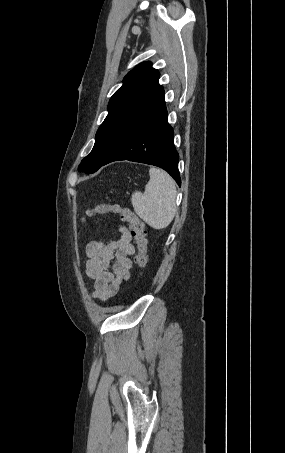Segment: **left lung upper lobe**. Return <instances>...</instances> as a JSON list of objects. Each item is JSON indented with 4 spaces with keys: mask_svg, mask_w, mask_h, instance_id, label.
I'll return each instance as SVG.
<instances>
[{
    "mask_svg": "<svg viewBox=\"0 0 285 453\" xmlns=\"http://www.w3.org/2000/svg\"><path fill=\"white\" fill-rule=\"evenodd\" d=\"M159 76L151 62H143L124 77L123 85L109 101L108 115L96 133L92 151L81 161L79 172L94 173L103 165L128 126L163 90Z\"/></svg>",
    "mask_w": 285,
    "mask_h": 453,
    "instance_id": "left-lung-upper-lobe-1",
    "label": "left lung upper lobe"
}]
</instances>
